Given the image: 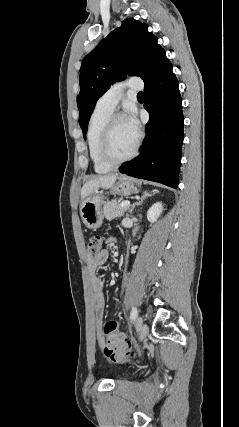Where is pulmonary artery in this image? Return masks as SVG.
Here are the masks:
<instances>
[{"mask_svg": "<svg viewBox=\"0 0 239 427\" xmlns=\"http://www.w3.org/2000/svg\"><path fill=\"white\" fill-rule=\"evenodd\" d=\"M143 87V82L136 77L130 78L124 83H117L99 98L96 107L112 112L120 101L123 90L125 88H128L132 91H141Z\"/></svg>", "mask_w": 239, "mask_h": 427, "instance_id": "pulmonary-artery-1", "label": "pulmonary artery"}]
</instances>
